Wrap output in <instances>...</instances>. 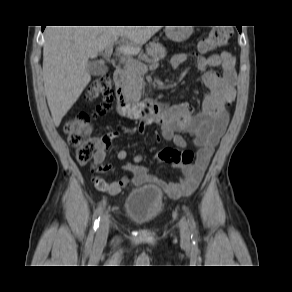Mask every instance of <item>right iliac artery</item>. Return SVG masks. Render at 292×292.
Instances as JSON below:
<instances>
[{"label":"right iliac artery","mask_w":292,"mask_h":292,"mask_svg":"<svg viewBox=\"0 0 292 292\" xmlns=\"http://www.w3.org/2000/svg\"><path fill=\"white\" fill-rule=\"evenodd\" d=\"M104 203H105V200H103L99 205L98 207L96 208L94 214H93V226L90 230V238H93L96 230L98 229V226H99V221H100V218L102 216V213H103V206H104Z\"/></svg>","instance_id":"obj_1"}]
</instances>
